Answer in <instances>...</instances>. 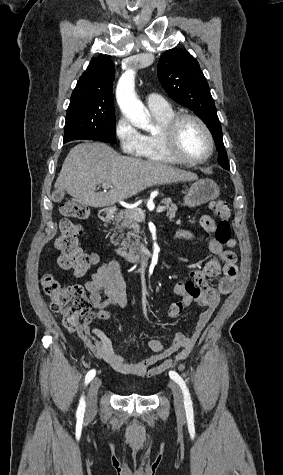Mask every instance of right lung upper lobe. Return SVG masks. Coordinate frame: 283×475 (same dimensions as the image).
Listing matches in <instances>:
<instances>
[{
  "label": "right lung upper lobe",
  "instance_id": "cb5924a9",
  "mask_svg": "<svg viewBox=\"0 0 283 475\" xmlns=\"http://www.w3.org/2000/svg\"><path fill=\"white\" fill-rule=\"evenodd\" d=\"M114 63L109 55L93 57L77 82L71 101H95L113 104Z\"/></svg>",
  "mask_w": 283,
  "mask_h": 475
}]
</instances>
